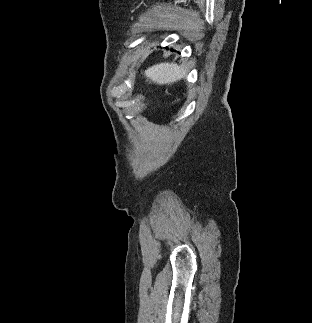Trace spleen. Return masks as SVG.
<instances>
[{"mask_svg": "<svg viewBox=\"0 0 312 323\" xmlns=\"http://www.w3.org/2000/svg\"><path fill=\"white\" fill-rule=\"evenodd\" d=\"M146 78L152 80L154 84H172L181 78H185L186 70H182L177 64H156L144 72Z\"/></svg>", "mask_w": 312, "mask_h": 323, "instance_id": "1", "label": "spleen"}]
</instances>
